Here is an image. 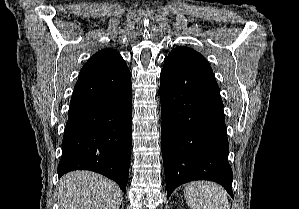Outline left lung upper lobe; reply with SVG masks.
<instances>
[{
	"label": "left lung upper lobe",
	"mask_w": 299,
	"mask_h": 209,
	"mask_svg": "<svg viewBox=\"0 0 299 209\" xmlns=\"http://www.w3.org/2000/svg\"><path fill=\"white\" fill-rule=\"evenodd\" d=\"M165 59L177 63L209 65L203 55L188 47H177L173 49Z\"/></svg>",
	"instance_id": "1"
}]
</instances>
